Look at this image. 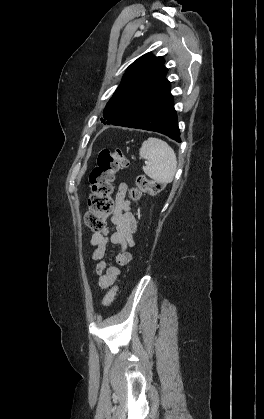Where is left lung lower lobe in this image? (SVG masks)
<instances>
[{"mask_svg":"<svg viewBox=\"0 0 264 419\" xmlns=\"http://www.w3.org/2000/svg\"><path fill=\"white\" fill-rule=\"evenodd\" d=\"M105 123L159 132L181 142L173 96L167 80L146 88L126 112L110 116Z\"/></svg>","mask_w":264,"mask_h":419,"instance_id":"0a47b994","label":"left lung lower lobe"}]
</instances>
